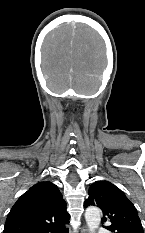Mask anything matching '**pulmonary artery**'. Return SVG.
<instances>
[{"label": "pulmonary artery", "mask_w": 145, "mask_h": 233, "mask_svg": "<svg viewBox=\"0 0 145 233\" xmlns=\"http://www.w3.org/2000/svg\"><path fill=\"white\" fill-rule=\"evenodd\" d=\"M98 232H99V233H110V232L107 231V230H99Z\"/></svg>", "instance_id": "e3ab8cb5"}]
</instances>
